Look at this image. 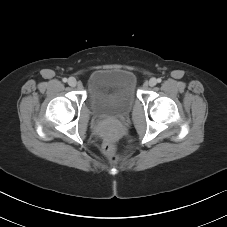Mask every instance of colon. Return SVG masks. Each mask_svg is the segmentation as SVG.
I'll return each mask as SVG.
<instances>
[{
  "label": "colon",
  "mask_w": 227,
  "mask_h": 227,
  "mask_svg": "<svg viewBox=\"0 0 227 227\" xmlns=\"http://www.w3.org/2000/svg\"><path fill=\"white\" fill-rule=\"evenodd\" d=\"M102 152L108 160L110 161L118 160L116 147L112 142H105L102 146Z\"/></svg>",
  "instance_id": "obj_1"
}]
</instances>
